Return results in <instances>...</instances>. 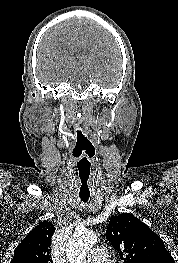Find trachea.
<instances>
[{
  "label": "trachea",
  "instance_id": "1",
  "mask_svg": "<svg viewBox=\"0 0 178 263\" xmlns=\"http://www.w3.org/2000/svg\"><path fill=\"white\" fill-rule=\"evenodd\" d=\"M89 177L90 167L78 166V192L82 202H87L90 198Z\"/></svg>",
  "mask_w": 178,
  "mask_h": 263
}]
</instances>
